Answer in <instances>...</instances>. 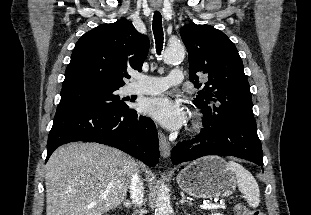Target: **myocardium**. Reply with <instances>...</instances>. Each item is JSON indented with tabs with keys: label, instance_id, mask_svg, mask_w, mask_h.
<instances>
[{
	"label": "myocardium",
	"instance_id": "myocardium-1",
	"mask_svg": "<svg viewBox=\"0 0 311 215\" xmlns=\"http://www.w3.org/2000/svg\"><path fill=\"white\" fill-rule=\"evenodd\" d=\"M203 128V120L200 116H196L193 122V130L199 132Z\"/></svg>",
	"mask_w": 311,
	"mask_h": 215
}]
</instances>
